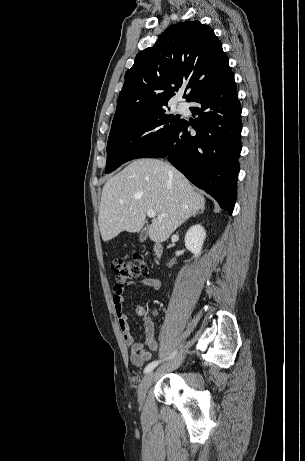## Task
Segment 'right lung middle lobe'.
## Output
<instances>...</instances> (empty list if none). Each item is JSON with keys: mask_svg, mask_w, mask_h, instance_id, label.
Listing matches in <instances>:
<instances>
[{"mask_svg": "<svg viewBox=\"0 0 305 461\" xmlns=\"http://www.w3.org/2000/svg\"><path fill=\"white\" fill-rule=\"evenodd\" d=\"M165 106L129 116L112 125L105 173L154 151L171 136L181 119L168 115Z\"/></svg>", "mask_w": 305, "mask_h": 461, "instance_id": "obj_1", "label": "right lung middle lobe"}]
</instances>
